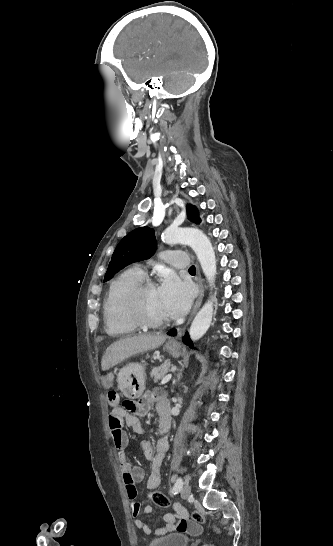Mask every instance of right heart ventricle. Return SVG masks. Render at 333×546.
<instances>
[{"label":"right heart ventricle","mask_w":333,"mask_h":546,"mask_svg":"<svg viewBox=\"0 0 333 546\" xmlns=\"http://www.w3.org/2000/svg\"><path fill=\"white\" fill-rule=\"evenodd\" d=\"M143 279L141 272L130 268L111 281L103 301V321L109 335L124 336L138 329L125 311L123 300L127 290Z\"/></svg>","instance_id":"obj_1"}]
</instances>
